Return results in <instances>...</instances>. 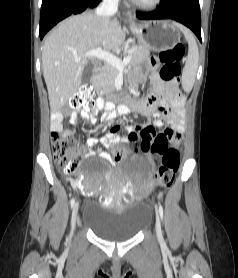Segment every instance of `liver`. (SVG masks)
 <instances>
[{"instance_id": "liver-1", "label": "liver", "mask_w": 238, "mask_h": 278, "mask_svg": "<svg viewBox=\"0 0 238 278\" xmlns=\"http://www.w3.org/2000/svg\"><path fill=\"white\" fill-rule=\"evenodd\" d=\"M125 34L117 18L96 13L71 16L45 38L42 69L52 112L59 111L76 94L88 58L84 54L96 48L117 50ZM75 57H81L79 61Z\"/></svg>"}]
</instances>
